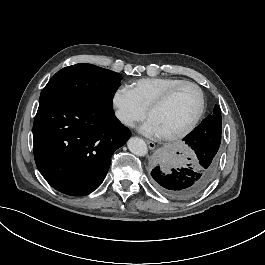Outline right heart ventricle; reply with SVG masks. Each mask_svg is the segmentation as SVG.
Listing matches in <instances>:
<instances>
[{
    "label": "right heart ventricle",
    "mask_w": 265,
    "mask_h": 265,
    "mask_svg": "<svg viewBox=\"0 0 265 265\" xmlns=\"http://www.w3.org/2000/svg\"><path fill=\"white\" fill-rule=\"evenodd\" d=\"M184 81L174 77H153L138 79L128 86L148 111L167 91Z\"/></svg>",
    "instance_id": "1"
}]
</instances>
